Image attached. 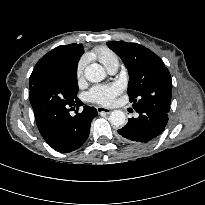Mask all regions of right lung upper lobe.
<instances>
[{"instance_id": "right-lung-upper-lobe-1", "label": "right lung upper lobe", "mask_w": 205, "mask_h": 205, "mask_svg": "<svg viewBox=\"0 0 205 205\" xmlns=\"http://www.w3.org/2000/svg\"><path fill=\"white\" fill-rule=\"evenodd\" d=\"M82 54L81 44L61 45L52 49L38 61L33 69L29 79V88L50 75L77 69V63Z\"/></svg>"}]
</instances>
